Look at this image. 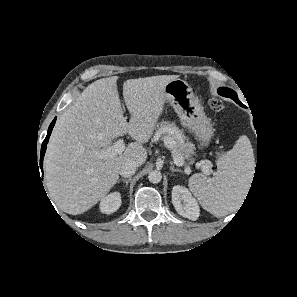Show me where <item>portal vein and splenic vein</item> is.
Instances as JSON below:
<instances>
[{"label":"portal vein and splenic vein","mask_w":297,"mask_h":297,"mask_svg":"<svg viewBox=\"0 0 297 297\" xmlns=\"http://www.w3.org/2000/svg\"><path fill=\"white\" fill-rule=\"evenodd\" d=\"M164 145L165 147H167L168 149H171L172 147V142L170 140H164ZM125 149V144H124V140L123 139H119L117 140V142H115L112 146H109L106 149H101L97 151V154H99L102 158H108L117 154H120L124 151ZM175 162L179 165H183L184 164V158L183 157H175ZM198 167H202V170L205 174H210L211 172V163H197ZM191 170L190 167L187 166L185 169V173L186 174H190Z\"/></svg>","instance_id":"obj_1"}]
</instances>
